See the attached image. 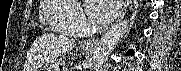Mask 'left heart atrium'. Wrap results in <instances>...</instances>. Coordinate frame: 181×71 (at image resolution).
I'll use <instances>...</instances> for the list:
<instances>
[{"mask_svg": "<svg viewBox=\"0 0 181 71\" xmlns=\"http://www.w3.org/2000/svg\"><path fill=\"white\" fill-rule=\"evenodd\" d=\"M120 4L118 0H93L88 4L87 12L92 21L105 24L117 15Z\"/></svg>", "mask_w": 181, "mask_h": 71, "instance_id": "1", "label": "left heart atrium"}]
</instances>
